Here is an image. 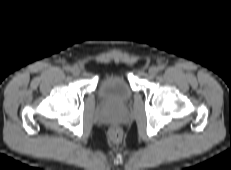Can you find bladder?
<instances>
[{
	"mask_svg": "<svg viewBox=\"0 0 231 170\" xmlns=\"http://www.w3.org/2000/svg\"><path fill=\"white\" fill-rule=\"evenodd\" d=\"M97 94L99 99L112 107H124L132 98V89L122 74H108L101 78Z\"/></svg>",
	"mask_w": 231,
	"mask_h": 170,
	"instance_id": "31cf9c89",
	"label": "bladder"
}]
</instances>
